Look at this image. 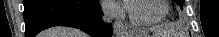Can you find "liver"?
<instances>
[{
	"mask_svg": "<svg viewBox=\"0 0 219 37\" xmlns=\"http://www.w3.org/2000/svg\"><path fill=\"white\" fill-rule=\"evenodd\" d=\"M41 35L43 37H87V35L81 31L64 27L49 29Z\"/></svg>",
	"mask_w": 219,
	"mask_h": 37,
	"instance_id": "6515ba94",
	"label": "liver"
}]
</instances>
